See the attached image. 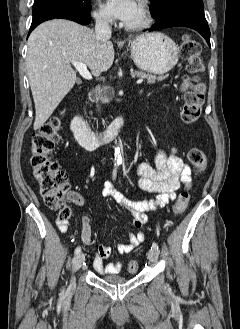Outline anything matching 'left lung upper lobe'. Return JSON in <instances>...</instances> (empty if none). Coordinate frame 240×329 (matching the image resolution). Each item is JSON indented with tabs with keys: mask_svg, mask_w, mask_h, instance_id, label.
<instances>
[{
	"mask_svg": "<svg viewBox=\"0 0 240 329\" xmlns=\"http://www.w3.org/2000/svg\"><path fill=\"white\" fill-rule=\"evenodd\" d=\"M152 7H150L151 15L158 20L166 12L177 7H195L204 9L202 0H150Z\"/></svg>",
	"mask_w": 240,
	"mask_h": 329,
	"instance_id": "obj_1",
	"label": "left lung upper lobe"
}]
</instances>
